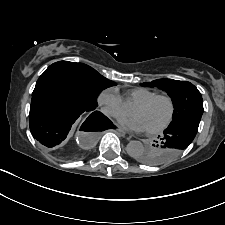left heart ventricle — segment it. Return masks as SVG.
Masks as SVG:
<instances>
[{
  "instance_id": "left-heart-ventricle-1",
  "label": "left heart ventricle",
  "mask_w": 225,
  "mask_h": 225,
  "mask_svg": "<svg viewBox=\"0 0 225 225\" xmlns=\"http://www.w3.org/2000/svg\"><path fill=\"white\" fill-rule=\"evenodd\" d=\"M133 116L139 117L146 130L162 125L170 113V105L167 100L159 99L146 107L133 106L130 110Z\"/></svg>"
}]
</instances>
